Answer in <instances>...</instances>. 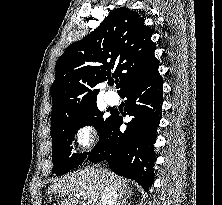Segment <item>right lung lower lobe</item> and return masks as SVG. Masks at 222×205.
<instances>
[{"instance_id": "98d812e1", "label": "right lung lower lobe", "mask_w": 222, "mask_h": 205, "mask_svg": "<svg viewBox=\"0 0 222 205\" xmlns=\"http://www.w3.org/2000/svg\"><path fill=\"white\" fill-rule=\"evenodd\" d=\"M127 98L125 114L132 116L125 131L120 130L123 119L114 114L112 122L100 136L88 160H106L112 171L135 180L146 191L153 181V163L156 160L153 144L161 118L163 80L158 68L127 84L119 93Z\"/></svg>"}]
</instances>
